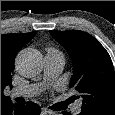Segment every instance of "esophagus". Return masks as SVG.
Segmentation results:
<instances>
[{
  "instance_id": "esophagus-1",
  "label": "esophagus",
  "mask_w": 115,
  "mask_h": 115,
  "mask_svg": "<svg viewBox=\"0 0 115 115\" xmlns=\"http://www.w3.org/2000/svg\"><path fill=\"white\" fill-rule=\"evenodd\" d=\"M42 113L53 115L55 112L50 110V109H48V108H42Z\"/></svg>"
}]
</instances>
